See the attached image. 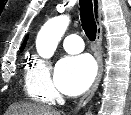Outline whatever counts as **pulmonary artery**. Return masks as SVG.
Returning a JSON list of instances; mask_svg holds the SVG:
<instances>
[{"label":"pulmonary artery","instance_id":"e3ab8cb5","mask_svg":"<svg viewBox=\"0 0 131 115\" xmlns=\"http://www.w3.org/2000/svg\"><path fill=\"white\" fill-rule=\"evenodd\" d=\"M63 47L70 54L80 53L84 49V44L80 36L75 34L67 35L63 40Z\"/></svg>","mask_w":131,"mask_h":115}]
</instances>
